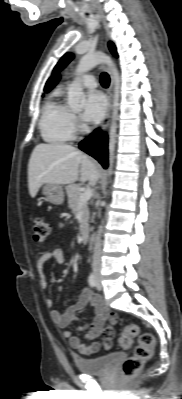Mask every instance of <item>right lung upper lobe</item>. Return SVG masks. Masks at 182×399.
<instances>
[{
	"label": "right lung upper lobe",
	"mask_w": 182,
	"mask_h": 399,
	"mask_svg": "<svg viewBox=\"0 0 182 399\" xmlns=\"http://www.w3.org/2000/svg\"><path fill=\"white\" fill-rule=\"evenodd\" d=\"M59 80V75L52 76L46 83L44 91L49 92Z\"/></svg>",
	"instance_id": "1"
}]
</instances>
